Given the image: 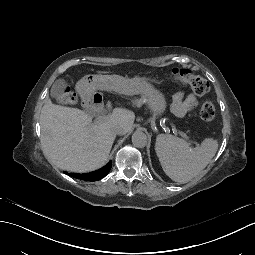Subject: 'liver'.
<instances>
[{"label":"liver","instance_id":"liver-1","mask_svg":"<svg viewBox=\"0 0 255 255\" xmlns=\"http://www.w3.org/2000/svg\"><path fill=\"white\" fill-rule=\"evenodd\" d=\"M109 89L121 93L118 75H99ZM153 93L164 100L153 88ZM135 115L125 108H115L103 122L92 123L91 118L77 108L55 105L51 100L44 104L40 115L41 143L44 155L62 170L84 173L102 167L109 157L116 124L131 130Z\"/></svg>","mask_w":255,"mask_h":255}]
</instances>
